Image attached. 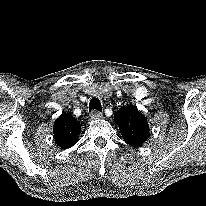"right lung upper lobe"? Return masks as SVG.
I'll use <instances>...</instances> for the list:
<instances>
[{
	"mask_svg": "<svg viewBox=\"0 0 206 206\" xmlns=\"http://www.w3.org/2000/svg\"><path fill=\"white\" fill-rule=\"evenodd\" d=\"M80 133V123L69 113L56 119L53 126L54 139L62 149L72 147L77 143Z\"/></svg>",
	"mask_w": 206,
	"mask_h": 206,
	"instance_id": "cb5924a9",
	"label": "right lung upper lobe"
}]
</instances>
